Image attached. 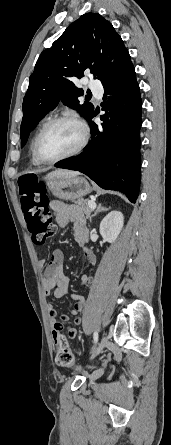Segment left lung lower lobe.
<instances>
[{
    "label": "left lung lower lobe",
    "instance_id": "1",
    "mask_svg": "<svg viewBox=\"0 0 171 445\" xmlns=\"http://www.w3.org/2000/svg\"><path fill=\"white\" fill-rule=\"evenodd\" d=\"M107 99L102 127L88 119L91 141L78 156L61 160L58 168L77 170L107 190L124 193L135 203L140 188V137L142 124L140 89L132 63L103 84Z\"/></svg>",
    "mask_w": 171,
    "mask_h": 445
}]
</instances>
